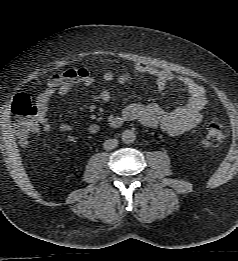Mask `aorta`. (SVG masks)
I'll return each mask as SVG.
<instances>
[{
  "label": "aorta",
  "mask_w": 238,
  "mask_h": 261,
  "mask_svg": "<svg viewBox=\"0 0 238 261\" xmlns=\"http://www.w3.org/2000/svg\"><path fill=\"white\" fill-rule=\"evenodd\" d=\"M121 138L125 144H129L135 141L136 135L132 130H125L123 131Z\"/></svg>",
  "instance_id": "1"
}]
</instances>
